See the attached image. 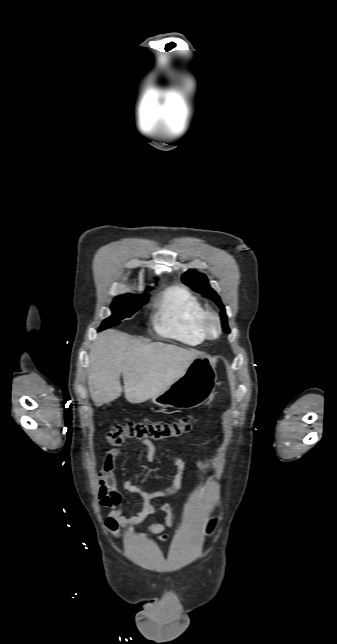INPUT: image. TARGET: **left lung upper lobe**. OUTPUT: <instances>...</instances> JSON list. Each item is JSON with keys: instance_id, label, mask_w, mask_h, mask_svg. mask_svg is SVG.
Instances as JSON below:
<instances>
[{"instance_id": "1", "label": "left lung upper lobe", "mask_w": 337, "mask_h": 644, "mask_svg": "<svg viewBox=\"0 0 337 644\" xmlns=\"http://www.w3.org/2000/svg\"><path fill=\"white\" fill-rule=\"evenodd\" d=\"M183 281L194 291L211 298L220 307L223 313V329L224 331H227L228 326L225 307L216 292L209 286L207 277L204 274H198L195 270L190 269L183 275Z\"/></svg>"}]
</instances>
